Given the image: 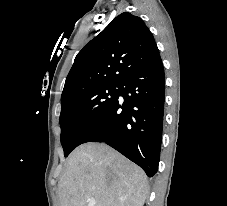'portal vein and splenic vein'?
Here are the masks:
<instances>
[{"mask_svg":"<svg viewBox=\"0 0 227 206\" xmlns=\"http://www.w3.org/2000/svg\"><path fill=\"white\" fill-rule=\"evenodd\" d=\"M88 206H95V201L94 200H89L88 201Z\"/></svg>","mask_w":227,"mask_h":206,"instance_id":"1","label":"portal vein and splenic vein"}]
</instances>
